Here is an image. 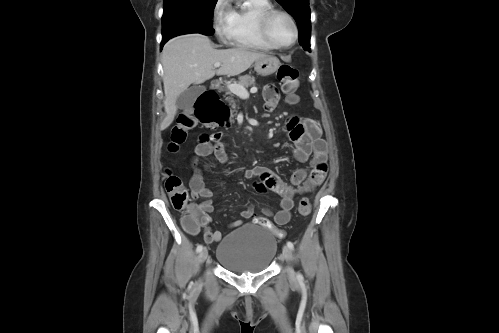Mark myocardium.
I'll return each mask as SVG.
<instances>
[{"mask_svg": "<svg viewBox=\"0 0 499 333\" xmlns=\"http://www.w3.org/2000/svg\"><path fill=\"white\" fill-rule=\"evenodd\" d=\"M276 14H281V15L285 16L289 20V22L291 23V26L293 29V38H292L291 42L286 44V45L277 44L273 40V38L269 32L270 21H271L272 17ZM258 25H259L261 35L274 49L290 48L296 43V41L298 39V27H297L296 21H295L294 17L288 11H286L284 9L271 7L269 9L265 10L259 16Z\"/></svg>", "mask_w": 499, "mask_h": 333, "instance_id": "f54148a6", "label": "myocardium"}]
</instances>
